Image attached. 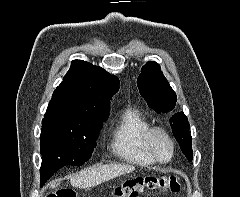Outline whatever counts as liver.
<instances>
[{"label":"liver","instance_id":"obj_1","mask_svg":"<svg viewBox=\"0 0 240 197\" xmlns=\"http://www.w3.org/2000/svg\"><path fill=\"white\" fill-rule=\"evenodd\" d=\"M135 170L131 165L110 164L86 168L70 177L71 185L75 188H90L97 186L105 181L130 173ZM60 180L49 184L50 188L56 187Z\"/></svg>","mask_w":240,"mask_h":197}]
</instances>
